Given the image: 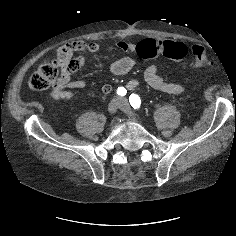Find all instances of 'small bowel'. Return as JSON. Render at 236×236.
<instances>
[{"instance_id":"c3829d8e","label":"small bowel","mask_w":236,"mask_h":236,"mask_svg":"<svg viewBox=\"0 0 236 236\" xmlns=\"http://www.w3.org/2000/svg\"><path fill=\"white\" fill-rule=\"evenodd\" d=\"M151 41L154 44H157L158 41L153 39H146ZM143 40V41H146ZM142 41V42H143ZM131 43L127 41H119L117 47L125 52V56L113 62L108 70L113 75H123L128 73L135 65V60L131 56L133 53L138 54L139 45L142 43ZM71 54L77 53L82 54L89 52L91 54H97L100 50L99 44L95 42L86 43L83 41H73L64 46ZM85 63V58L82 55H79L75 58H71L70 64L67 69L63 72L60 81L54 85L50 96L52 99H70L75 96L76 90H85L87 88V83L82 79L72 80V75L78 71ZM144 80L148 86L151 88L165 92L168 94H182L185 91V88L182 84L167 82L158 74V68L156 65H150L145 69ZM127 88L129 90H135L142 86L141 81L137 79H132L127 83ZM112 86L110 84H104L102 86V92L105 95H108L112 92Z\"/></svg>"}]
</instances>
